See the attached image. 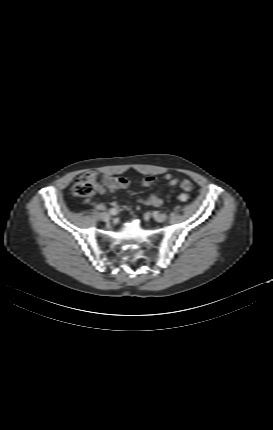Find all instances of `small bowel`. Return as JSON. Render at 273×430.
Masks as SVG:
<instances>
[{
  "instance_id": "small-bowel-1",
  "label": "small bowel",
  "mask_w": 273,
  "mask_h": 430,
  "mask_svg": "<svg viewBox=\"0 0 273 430\" xmlns=\"http://www.w3.org/2000/svg\"><path fill=\"white\" fill-rule=\"evenodd\" d=\"M94 177L96 179L101 180V184L98 186V192L100 194H104L107 190L111 192H117L120 190L128 189L131 185V182L126 177H114L106 174H100V173H93ZM164 179L167 182L168 186H176L180 185L182 188V183L188 180H180L178 177L173 176L170 173H167L164 175ZM155 181V178L152 176H147L140 180V185L144 187H148L152 185ZM181 199H185L184 195H182ZM138 203L141 205H150V206H161L162 205V199L157 194H152L149 197L146 198H140L138 199ZM97 209H104L103 204H98ZM113 208H115L118 211H123L127 209V206L121 203H114Z\"/></svg>"
}]
</instances>
